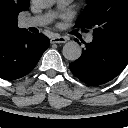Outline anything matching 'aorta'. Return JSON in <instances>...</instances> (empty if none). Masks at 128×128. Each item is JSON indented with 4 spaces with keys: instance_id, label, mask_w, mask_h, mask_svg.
<instances>
[{
    "instance_id": "1",
    "label": "aorta",
    "mask_w": 128,
    "mask_h": 128,
    "mask_svg": "<svg viewBox=\"0 0 128 128\" xmlns=\"http://www.w3.org/2000/svg\"><path fill=\"white\" fill-rule=\"evenodd\" d=\"M34 4L40 8L52 6L56 0H33ZM63 56L69 61H76L80 58L82 50L80 45L75 41H69L63 46Z\"/></svg>"
}]
</instances>
